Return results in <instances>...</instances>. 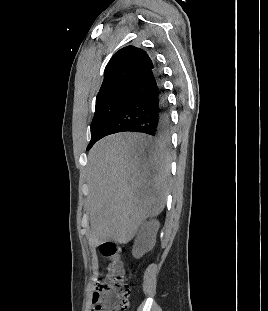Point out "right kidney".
I'll use <instances>...</instances> for the list:
<instances>
[{
  "mask_svg": "<svg viewBox=\"0 0 268 311\" xmlns=\"http://www.w3.org/2000/svg\"><path fill=\"white\" fill-rule=\"evenodd\" d=\"M159 222L152 220L144 224L135 239L132 254L135 258L142 257L151 250L156 242Z\"/></svg>",
  "mask_w": 268,
  "mask_h": 311,
  "instance_id": "1",
  "label": "right kidney"
}]
</instances>
